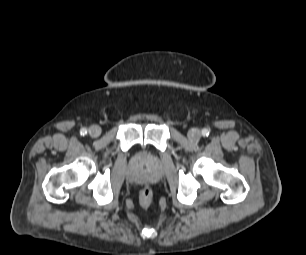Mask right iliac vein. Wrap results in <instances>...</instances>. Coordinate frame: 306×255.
I'll return each mask as SVG.
<instances>
[{"mask_svg": "<svg viewBox=\"0 0 306 255\" xmlns=\"http://www.w3.org/2000/svg\"><path fill=\"white\" fill-rule=\"evenodd\" d=\"M101 134V128L98 125H92L89 128V135L93 138L98 137Z\"/></svg>", "mask_w": 306, "mask_h": 255, "instance_id": "63e3f726", "label": "right iliac vein"}]
</instances>
